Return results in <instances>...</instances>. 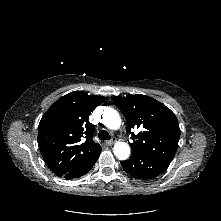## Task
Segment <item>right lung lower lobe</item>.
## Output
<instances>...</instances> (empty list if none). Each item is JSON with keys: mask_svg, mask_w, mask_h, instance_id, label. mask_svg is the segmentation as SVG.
<instances>
[{"mask_svg": "<svg viewBox=\"0 0 221 221\" xmlns=\"http://www.w3.org/2000/svg\"><path fill=\"white\" fill-rule=\"evenodd\" d=\"M99 154L94 155L93 157H91L90 159H88L87 161H85L84 163H82L80 166L76 167L75 169L69 171L68 173H66L65 175H63V178L66 179H73V178H77V177H81L83 175H85L95 164V162L97 161Z\"/></svg>", "mask_w": 221, "mask_h": 221, "instance_id": "right-lung-lower-lobe-1", "label": "right lung lower lobe"}]
</instances>
